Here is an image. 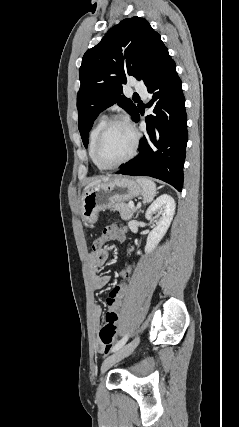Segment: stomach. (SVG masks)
I'll return each mask as SVG.
<instances>
[{"label":"stomach","mask_w":239,"mask_h":427,"mask_svg":"<svg viewBox=\"0 0 239 427\" xmlns=\"http://www.w3.org/2000/svg\"><path fill=\"white\" fill-rule=\"evenodd\" d=\"M142 193L141 185L134 179L116 177L108 183H101L86 190L82 196L81 215L85 222L94 224L100 211L115 203L131 200Z\"/></svg>","instance_id":"1"}]
</instances>
